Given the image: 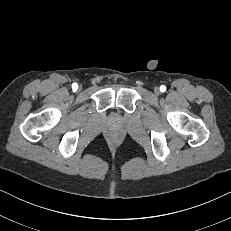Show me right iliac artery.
I'll return each instance as SVG.
<instances>
[{"mask_svg": "<svg viewBox=\"0 0 231 231\" xmlns=\"http://www.w3.org/2000/svg\"><path fill=\"white\" fill-rule=\"evenodd\" d=\"M72 88H73L74 90H76V89L78 88V84H77V83H73V84H72Z\"/></svg>", "mask_w": 231, "mask_h": 231, "instance_id": "82829eb1", "label": "right iliac artery"}]
</instances>
